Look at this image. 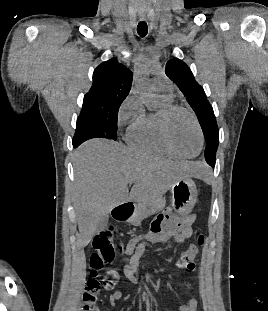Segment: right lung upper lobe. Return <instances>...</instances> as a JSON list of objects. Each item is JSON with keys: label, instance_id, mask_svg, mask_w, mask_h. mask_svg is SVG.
Listing matches in <instances>:
<instances>
[{"label": "right lung upper lobe", "instance_id": "cb5924a9", "mask_svg": "<svg viewBox=\"0 0 268 311\" xmlns=\"http://www.w3.org/2000/svg\"><path fill=\"white\" fill-rule=\"evenodd\" d=\"M132 72L116 58L101 63L93 73V84L84 99L122 103L131 89Z\"/></svg>", "mask_w": 268, "mask_h": 311}]
</instances>
